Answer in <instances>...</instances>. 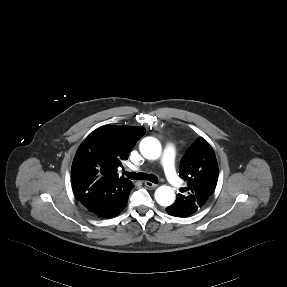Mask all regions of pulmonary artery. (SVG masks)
<instances>
[{"mask_svg": "<svg viewBox=\"0 0 287 287\" xmlns=\"http://www.w3.org/2000/svg\"><path fill=\"white\" fill-rule=\"evenodd\" d=\"M174 156H175V145L174 144H168L165 147V150L161 157V165L163 167V170L165 172L166 178L170 182V184L175 188L179 189L181 187V182L179 178L175 174V168H174ZM132 170L138 171L140 168L132 165Z\"/></svg>", "mask_w": 287, "mask_h": 287, "instance_id": "1", "label": "pulmonary artery"}]
</instances>
